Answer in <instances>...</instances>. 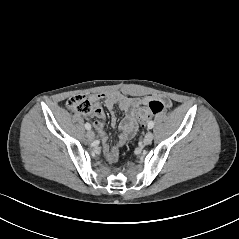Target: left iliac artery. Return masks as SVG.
Instances as JSON below:
<instances>
[{"instance_id":"left-iliac-artery-1","label":"left iliac artery","mask_w":239,"mask_h":239,"mask_svg":"<svg viewBox=\"0 0 239 239\" xmlns=\"http://www.w3.org/2000/svg\"><path fill=\"white\" fill-rule=\"evenodd\" d=\"M153 126H154V122H153V121H150V122L148 123V129H152Z\"/></svg>"}]
</instances>
